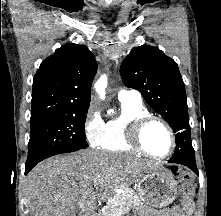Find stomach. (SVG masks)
Listing matches in <instances>:
<instances>
[{"label": "stomach", "mask_w": 221, "mask_h": 216, "mask_svg": "<svg viewBox=\"0 0 221 216\" xmlns=\"http://www.w3.org/2000/svg\"><path fill=\"white\" fill-rule=\"evenodd\" d=\"M178 183L168 169L149 172L137 181L140 205L159 209L170 205L177 196ZM137 214V211L134 212Z\"/></svg>", "instance_id": "obj_1"}]
</instances>
